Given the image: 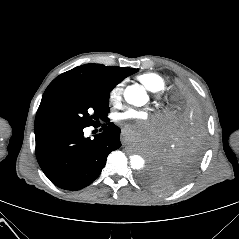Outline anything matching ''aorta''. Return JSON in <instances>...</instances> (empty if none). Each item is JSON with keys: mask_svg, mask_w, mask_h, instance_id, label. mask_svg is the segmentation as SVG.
Wrapping results in <instances>:
<instances>
[{"mask_svg": "<svg viewBox=\"0 0 239 239\" xmlns=\"http://www.w3.org/2000/svg\"><path fill=\"white\" fill-rule=\"evenodd\" d=\"M124 97L127 103L135 106H143L148 101L145 90L138 85L128 86L125 89ZM130 165L132 169L140 170L145 166V160L142 156L135 154L130 157Z\"/></svg>", "mask_w": 239, "mask_h": 239, "instance_id": "aorta-1", "label": "aorta"}]
</instances>
